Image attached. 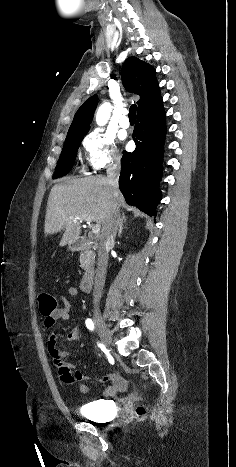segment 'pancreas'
Listing matches in <instances>:
<instances>
[{
    "label": "pancreas",
    "mask_w": 236,
    "mask_h": 467,
    "mask_svg": "<svg viewBox=\"0 0 236 467\" xmlns=\"http://www.w3.org/2000/svg\"><path fill=\"white\" fill-rule=\"evenodd\" d=\"M95 260V252L93 250L85 251L80 256V267L87 270L93 265Z\"/></svg>",
    "instance_id": "pancreas-1"
}]
</instances>
